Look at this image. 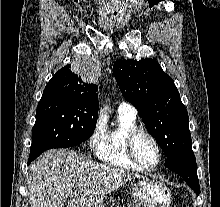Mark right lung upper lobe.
Listing matches in <instances>:
<instances>
[{
    "instance_id": "1",
    "label": "right lung upper lobe",
    "mask_w": 220,
    "mask_h": 207,
    "mask_svg": "<svg viewBox=\"0 0 220 207\" xmlns=\"http://www.w3.org/2000/svg\"><path fill=\"white\" fill-rule=\"evenodd\" d=\"M44 93L75 95L99 106L97 86L84 82L81 76L70 69L69 64L57 71L46 85Z\"/></svg>"
}]
</instances>
